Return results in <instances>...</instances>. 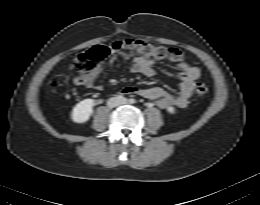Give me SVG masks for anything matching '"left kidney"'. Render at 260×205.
<instances>
[{
	"instance_id": "left-kidney-1",
	"label": "left kidney",
	"mask_w": 260,
	"mask_h": 205,
	"mask_svg": "<svg viewBox=\"0 0 260 205\" xmlns=\"http://www.w3.org/2000/svg\"><path fill=\"white\" fill-rule=\"evenodd\" d=\"M167 111H168L170 114H174V113H175V108H174V107H168Z\"/></svg>"
}]
</instances>
